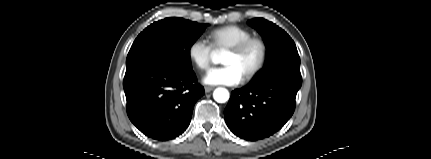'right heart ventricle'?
Instances as JSON below:
<instances>
[{"label": "right heart ventricle", "mask_w": 431, "mask_h": 159, "mask_svg": "<svg viewBox=\"0 0 431 159\" xmlns=\"http://www.w3.org/2000/svg\"><path fill=\"white\" fill-rule=\"evenodd\" d=\"M252 37V33L237 25L217 28L210 33L213 48L219 51L228 50L240 42Z\"/></svg>", "instance_id": "e07e8e85"}]
</instances>
